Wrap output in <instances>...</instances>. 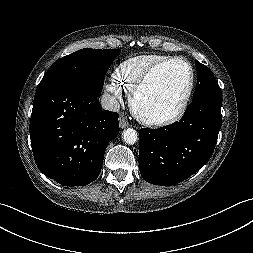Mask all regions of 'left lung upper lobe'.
Instances as JSON below:
<instances>
[{
    "instance_id": "obj_1",
    "label": "left lung upper lobe",
    "mask_w": 253,
    "mask_h": 253,
    "mask_svg": "<svg viewBox=\"0 0 253 253\" xmlns=\"http://www.w3.org/2000/svg\"><path fill=\"white\" fill-rule=\"evenodd\" d=\"M195 65L197 68V85L193 94V99L204 95L222 97L221 89L212 71L197 60L195 61Z\"/></svg>"
}]
</instances>
